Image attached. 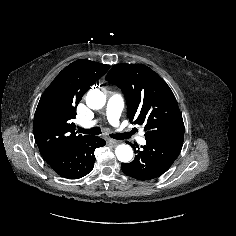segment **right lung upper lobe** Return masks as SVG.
<instances>
[{"label": "right lung upper lobe", "mask_w": 236, "mask_h": 236, "mask_svg": "<svg viewBox=\"0 0 236 236\" xmlns=\"http://www.w3.org/2000/svg\"><path fill=\"white\" fill-rule=\"evenodd\" d=\"M110 68L90 60H77L65 67L42 94L33 124L41 154L70 148L91 136L76 135V107L82 96Z\"/></svg>", "instance_id": "cb5924a9"}]
</instances>
